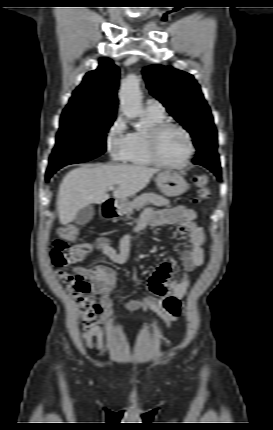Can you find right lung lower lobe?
<instances>
[{
    "instance_id": "98d812e1",
    "label": "right lung lower lobe",
    "mask_w": 273,
    "mask_h": 430,
    "mask_svg": "<svg viewBox=\"0 0 273 430\" xmlns=\"http://www.w3.org/2000/svg\"><path fill=\"white\" fill-rule=\"evenodd\" d=\"M55 173V172H54ZM53 175V172H48V173H46V177H45V180L46 181H49V179H50V177Z\"/></svg>"
}]
</instances>
